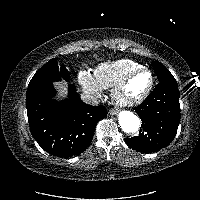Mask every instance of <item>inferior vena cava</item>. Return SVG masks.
<instances>
[{"instance_id": "obj_1", "label": "inferior vena cava", "mask_w": 200, "mask_h": 200, "mask_svg": "<svg viewBox=\"0 0 200 200\" xmlns=\"http://www.w3.org/2000/svg\"><path fill=\"white\" fill-rule=\"evenodd\" d=\"M81 99L90 105H98L99 104V100L97 99V97L90 95V94H82L81 95Z\"/></svg>"}]
</instances>
